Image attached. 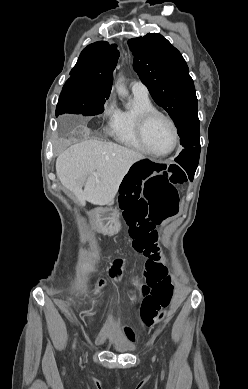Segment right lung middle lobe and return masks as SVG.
<instances>
[{
	"label": "right lung middle lobe",
	"instance_id": "right-lung-middle-lobe-1",
	"mask_svg": "<svg viewBox=\"0 0 248 389\" xmlns=\"http://www.w3.org/2000/svg\"><path fill=\"white\" fill-rule=\"evenodd\" d=\"M110 89L89 86L80 76L70 77L63 86L56 115L63 113L92 116L104 111V103L109 98Z\"/></svg>",
	"mask_w": 248,
	"mask_h": 389
}]
</instances>
